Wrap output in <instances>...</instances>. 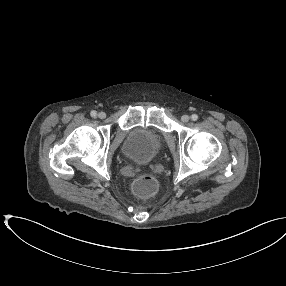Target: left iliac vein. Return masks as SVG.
Masks as SVG:
<instances>
[{
  "label": "left iliac vein",
  "mask_w": 286,
  "mask_h": 286,
  "mask_svg": "<svg viewBox=\"0 0 286 286\" xmlns=\"http://www.w3.org/2000/svg\"><path fill=\"white\" fill-rule=\"evenodd\" d=\"M181 120L186 123V122H188L190 120V117L188 115H183L181 117Z\"/></svg>",
  "instance_id": "4c4485c4"
}]
</instances>
